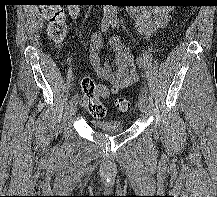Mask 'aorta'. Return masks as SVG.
I'll list each match as a JSON object with an SVG mask.
<instances>
[{
	"label": "aorta",
	"mask_w": 217,
	"mask_h": 197,
	"mask_svg": "<svg viewBox=\"0 0 217 197\" xmlns=\"http://www.w3.org/2000/svg\"><path fill=\"white\" fill-rule=\"evenodd\" d=\"M104 18L108 20H114L117 17V7L112 5H104Z\"/></svg>",
	"instance_id": "1"
}]
</instances>
